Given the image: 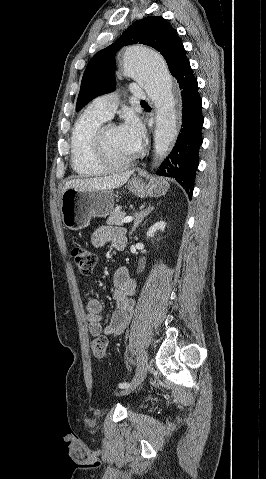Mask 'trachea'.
I'll use <instances>...</instances> for the list:
<instances>
[{
  "mask_svg": "<svg viewBox=\"0 0 266 479\" xmlns=\"http://www.w3.org/2000/svg\"><path fill=\"white\" fill-rule=\"evenodd\" d=\"M141 103H146L145 101H141Z\"/></svg>",
  "mask_w": 266,
  "mask_h": 479,
  "instance_id": "1",
  "label": "trachea"
}]
</instances>
